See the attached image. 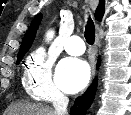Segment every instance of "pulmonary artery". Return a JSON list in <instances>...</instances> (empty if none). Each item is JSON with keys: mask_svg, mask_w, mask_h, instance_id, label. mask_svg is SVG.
Masks as SVG:
<instances>
[{"mask_svg": "<svg viewBox=\"0 0 131 115\" xmlns=\"http://www.w3.org/2000/svg\"><path fill=\"white\" fill-rule=\"evenodd\" d=\"M65 50L68 54L78 56L84 53L85 45L82 38L78 35L69 37L65 44Z\"/></svg>", "mask_w": 131, "mask_h": 115, "instance_id": "e3ab8cb5", "label": "pulmonary artery"}]
</instances>
